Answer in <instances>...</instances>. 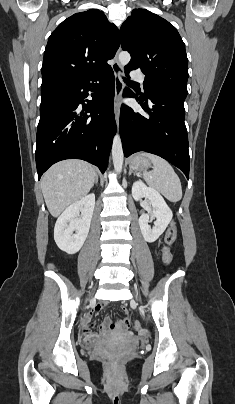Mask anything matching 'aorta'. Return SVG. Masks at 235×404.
<instances>
[{
    "mask_svg": "<svg viewBox=\"0 0 235 404\" xmlns=\"http://www.w3.org/2000/svg\"><path fill=\"white\" fill-rule=\"evenodd\" d=\"M130 59H131L130 54L127 51H123L119 54V63L122 67L126 66L129 63ZM123 158L124 154L122 149L121 138L118 134H116L114 136L112 144V159L114 169L117 173H120L122 171Z\"/></svg>",
    "mask_w": 235,
    "mask_h": 404,
    "instance_id": "1",
    "label": "aorta"
}]
</instances>
